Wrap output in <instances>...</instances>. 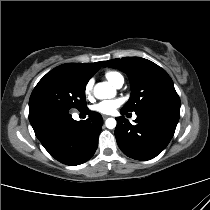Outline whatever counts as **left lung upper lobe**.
I'll use <instances>...</instances> for the list:
<instances>
[{
  "instance_id": "obj_1",
  "label": "left lung upper lobe",
  "mask_w": 210,
  "mask_h": 210,
  "mask_svg": "<svg viewBox=\"0 0 210 210\" xmlns=\"http://www.w3.org/2000/svg\"><path fill=\"white\" fill-rule=\"evenodd\" d=\"M114 67L127 73L132 93L122 108L126 112H138L152 107L180 110V98L167 72L155 63L140 57L112 59L104 67Z\"/></svg>"
}]
</instances>
